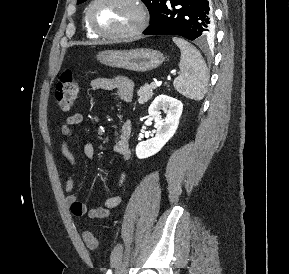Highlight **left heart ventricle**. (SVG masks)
Segmentation results:
<instances>
[{"label":"left heart ventricle","mask_w":289,"mask_h":274,"mask_svg":"<svg viewBox=\"0 0 289 274\" xmlns=\"http://www.w3.org/2000/svg\"><path fill=\"white\" fill-rule=\"evenodd\" d=\"M94 25L105 32H122L137 21V11L127 0H100L91 12Z\"/></svg>","instance_id":"1"}]
</instances>
